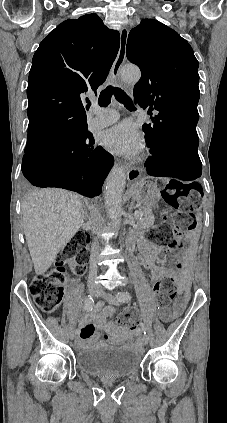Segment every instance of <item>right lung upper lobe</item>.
Segmentation results:
<instances>
[{
    "label": "right lung upper lobe",
    "mask_w": 227,
    "mask_h": 423,
    "mask_svg": "<svg viewBox=\"0 0 227 423\" xmlns=\"http://www.w3.org/2000/svg\"><path fill=\"white\" fill-rule=\"evenodd\" d=\"M119 46V33L96 14L62 22L40 43L28 79L25 152L87 128L84 93L106 80ZM41 108L52 112L38 114Z\"/></svg>",
    "instance_id": "obj_1"
}]
</instances>
